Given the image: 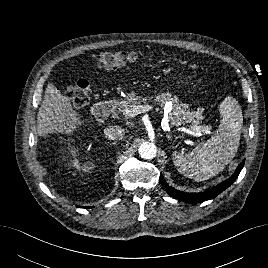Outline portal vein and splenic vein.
Listing matches in <instances>:
<instances>
[{"instance_id": "18ae733b", "label": "portal vein and splenic vein", "mask_w": 268, "mask_h": 268, "mask_svg": "<svg viewBox=\"0 0 268 268\" xmlns=\"http://www.w3.org/2000/svg\"><path fill=\"white\" fill-rule=\"evenodd\" d=\"M154 107L151 105H132L129 108H126L123 111V114L126 117H134L138 114L144 113V112H148L150 110H153ZM156 111H158V108H155ZM193 130L197 131V132H201L204 130L205 127H201V126H193L191 127Z\"/></svg>"}]
</instances>
